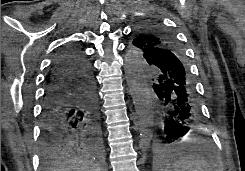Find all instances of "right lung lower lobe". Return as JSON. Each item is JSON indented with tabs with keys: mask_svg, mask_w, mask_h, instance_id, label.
<instances>
[{
	"mask_svg": "<svg viewBox=\"0 0 245 171\" xmlns=\"http://www.w3.org/2000/svg\"><path fill=\"white\" fill-rule=\"evenodd\" d=\"M98 97L90 61L76 47L54 60L47 79L42 113L43 144L50 148L100 143Z\"/></svg>",
	"mask_w": 245,
	"mask_h": 171,
	"instance_id": "1",
	"label": "right lung lower lobe"
}]
</instances>
